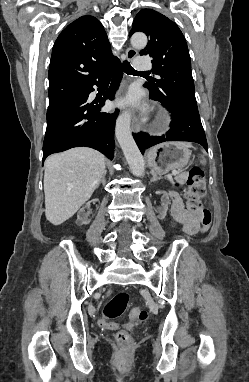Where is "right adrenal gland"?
<instances>
[{
  "label": "right adrenal gland",
  "instance_id": "right-adrenal-gland-1",
  "mask_svg": "<svg viewBox=\"0 0 249 382\" xmlns=\"http://www.w3.org/2000/svg\"><path fill=\"white\" fill-rule=\"evenodd\" d=\"M106 173L107 171L104 173V175L102 176L101 180L99 181L98 185H97V188L99 187V185L102 183L103 185H105V176H106Z\"/></svg>",
  "mask_w": 249,
  "mask_h": 382
}]
</instances>
